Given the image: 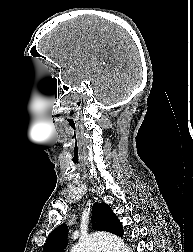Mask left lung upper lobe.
I'll list each match as a JSON object with an SVG mask.
<instances>
[{
	"label": "left lung upper lobe",
	"instance_id": "obj_1",
	"mask_svg": "<svg viewBox=\"0 0 193 252\" xmlns=\"http://www.w3.org/2000/svg\"><path fill=\"white\" fill-rule=\"evenodd\" d=\"M92 227L98 231H108L117 236H123L124 230L118 217L106 203H95L92 209ZM67 226L62 224L49 235L43 252H64L66 247Z\"/></svg>",
	"mask_w": 193,
	"mask_h": 252
}]
</instances>
